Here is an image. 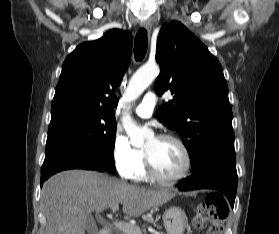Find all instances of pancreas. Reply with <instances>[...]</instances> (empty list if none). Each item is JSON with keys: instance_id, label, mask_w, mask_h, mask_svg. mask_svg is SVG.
Listing matches in <instances>:
<instances>
[{"instance_id": "obj_1", "label": "pancreas", "mask_w": 279, "mask_h": 234, "mask_svg": "<svg viewBox=\"0 0 279 234\" xmlns=\"http://www.w3.org/2000/svg\"><path fill=\"white\" fill-rule=\"evenodd\" d=\"M132 229H133V231H130L129 233L123 232L120 234H141L140 228L138 226H132ZM159 234H162V233H159Z\"/></svg>"}]
</instances>
